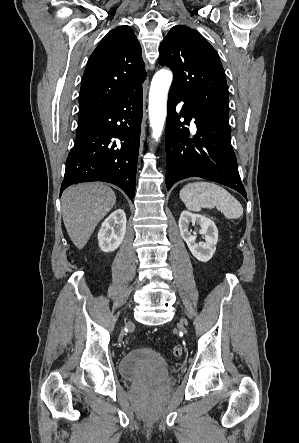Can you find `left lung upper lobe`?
I'll list each match as a JSON object with an SVG mask.
<instances>
[{"instance_id":"1","label":"left lung upper lobe","mask_w":299,"mask_h":443,"mask_svg":"<svg viewBox=\"0 0 299 443\" xmlns=\"http://www.w3.org/2000/svg\"><path fill=\"white\" fill-rule=\"evenodd\" d=\"M159 64L174 73L171 90L229 122L228 87L215 49L196 30L174 26L159 48Z\"/></svg>"}]
</instances>
